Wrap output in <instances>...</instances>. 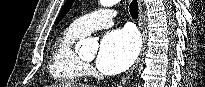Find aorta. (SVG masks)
<instances>
[{
    "label": "aorta",
    "instance_id": "aorta-1",
    "mask_svg": "<svg viewBox=\"0 0 205 87\" xmlns=\"http://www.w3.org/2000/svg\"><path fill=\"white\" fill-rule=\"evenodd\" d=\"M119 2V0H100V3L102 6L104 7H110L113 6L115 4H117ZM78 45L82 48V49H94L95 46V41L93 39L87 38V39H82L78 42Z\"/></svg>",
    "mask_w": 205,
    "mask_h": 87
}]
</instances>
